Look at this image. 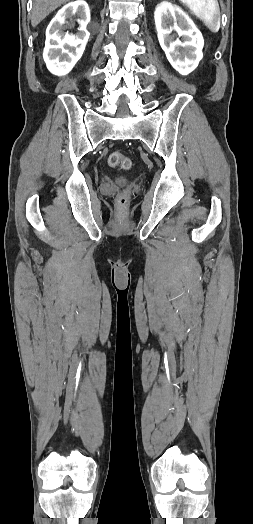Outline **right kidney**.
Listing matches in <instances>:
<instances>
[{
  "label": "right kidney",
  "mask_w": 253,
  "mask_h": 524,
  "mask_svg": "<svg viewBox=\"0 0 253 524\" xmlns=\"http://www.w3.org/2000/svg\"><path fill=\"white\" fill-rule=\"evenodd\" d=\"M77 18L78 32L64 33L68 19ZM90 22V10L83 0L65 5L58 11L46 30V42L43 58L48 70L57 76L68 74L81 58L89 39L87 25ZM74 27V24H71Z\"/></svg>",
  "instance_id": "right-kidney-1"
}]
</instances>
